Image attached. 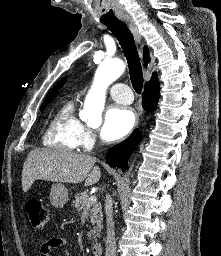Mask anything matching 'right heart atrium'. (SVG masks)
<instances>
[{
	"label": "right heart atrium",
	"instance_id": "1",
	"mask_svg": "<svg viewBox=\"0 0 221 256\" xmlns=\"http://www.w3.org/2000/svg\"><path fill=\"white\" fill-rule=\"evenodd\" d=\"M96 142V137L94 131L82 124L78 130V146H81L85 149H90Z\"/></svg>",
	"mask_w": 221,
	"mask_h": 256
}]
</instances>
